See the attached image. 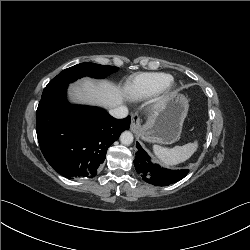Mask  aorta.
<instances>
[{
	"mask_svg": "<svg viewBox=\"0 0 250 250\" xmlns=\"http://www.w3.org/2000/svg\"><path fill=\"white\" fill-rule=\"evenodd\" d=\"M133 139V134L130 131H124L120 136V141L123 145L132 144Z\"/></svg>",
	"mask_w": 250,
	"mask_h": 250,
	"instance_id": "1",
	"label": "aorta"
}]
</instances>
